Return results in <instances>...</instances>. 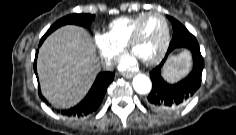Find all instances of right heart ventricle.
Wrapping results in <instances>:
<instances>
[{
	"label": "right heart ventricle",
	"instance_id": "obj_1",
	"mask_svg": "<svg viewBox=\"0 0 236 135\" xmlns=\"http://www.w3.org/2000/svg\"><path fill=\"white\" fill-rule=\"evenodd\" d=\"M145 15L140 13L134 16L120 17L113 20L107 28L106 36L120 48H124L137 22Z\"/></svg>",
	"mask_w": 236,
	"mask_h": 135
}]
</instances>
